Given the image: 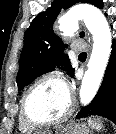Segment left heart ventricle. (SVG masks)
Listing matches in <instances>:
<instances>
[{
	"mask_svg": "<svg viewBox=\"0 0 116 134\" xmlns=\"http://www.w3.org/2000/svg\"><path fill=\"white\" fill-rule=\"evenodd\" d=\"M69 94L61 83L46 81L29 94L26 108L36 120H48L61 116L68 108Z\"/></svg>",
	"mask_w": 116,
	"mask_h": 134,
	"instance_id": "b2bd125f",
	"label": "left heart ventricle"
}]
</instances>
